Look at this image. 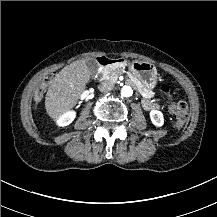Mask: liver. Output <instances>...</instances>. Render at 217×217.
<instances>
[{"label": "liver", "mask_w": 217, "mask_h": 217, "mask_svg": "<svg viewBox=\"0 0 217 217\" xmlns=\"http://www.w3.org/2000/svg\"><path fill=\"white\" fill-rule=\"evenodd\" d=\"M91 73L85 61L77 60L65 66L51 80L45 97L47 114L57 120L63 113L74 107L80 94L85 90Z\"/></svg>", "instance_id": "6515ba94"}]
</instances>
